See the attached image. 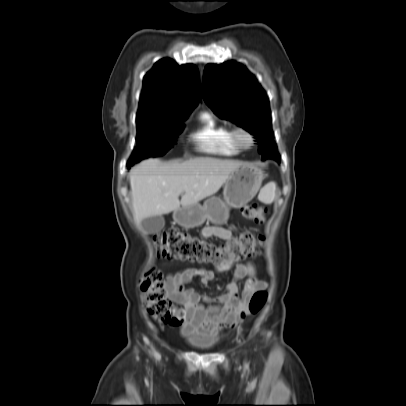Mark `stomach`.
<instances>
[{
  "label": "stomach",
  "mask_w": 406,
  "mask_h": 406,
  "mask_svg": "<svg viewBox=\"0 0 406 406\" xmlns=\"http://www.w3.org/2000/svg\"><path fill=\"white\" fill-rule=\"evenodd\" d=\"M263 171L255 165H243L232 172L225 182L223 196L207 199L203 205L193 204L174 211L173 218L181 226L193 228L205 220L215 225L226 223L229 208H240L251 201L261 187Z\"/></svg>",
  "instance_id": "0dacf381"
}]
</instances>
